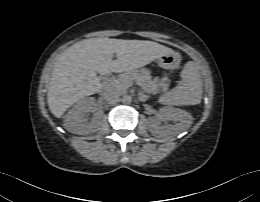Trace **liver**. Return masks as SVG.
Masks as SVG:
<instances>
[{
    "label": "liver",
    "instance_id": "6515ba94",
    "mask_svg": "<svg viewBox=\"0 0 260 202\" xmlns=\"http://www.w3.org/2000/svg\"><path fill=\"white\" fill-rule=\"evenodd\" d=\"M171 48L153 41L91 38L79 41L63 52L56 62L48 87L51 113L60 118L77 101L100 91L96 73L107 75L143 67ZM113 54L117 59L113 60Z\"/></svg>",
    "mask_w": 260,
    "mask_h": 202
}]
</instances>
